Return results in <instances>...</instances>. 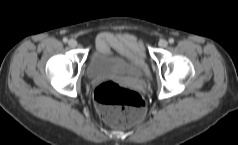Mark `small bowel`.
<instances>
[{"label":"small bowel","instance_id":"small-bowel-1","mask_svg":"<svg viewBox=\"0 0 238 145\" xmlns=\"http://www.w3.org/2000/svg\"><path fill=\"white\" fill-rule=\"evenodd\" d=\"M96 45L104 53L112 54L113 51H117L131 61H139L144 51L143 44L137 37L115 35L110 32L101 33L97 37Z\"/></svg>","mask_w":238,"mask_h":145}]
</instances>
